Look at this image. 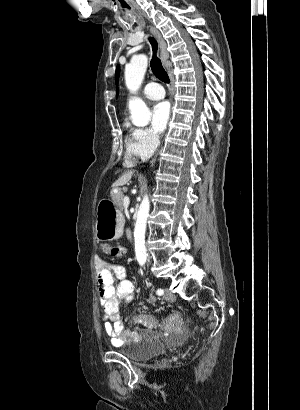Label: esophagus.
Returning a JSON list of instances; mask_svg holds the SVG:
<instances>
[{
  "label": "esophagus",
  "mask_w": 300,
  "mask_h": 410,
  "mask_svg": "<svg viewBox=\"0 0 300 410\" xmlns=\"http://www.w3.org/2000/svg\"><path fill=\"white\" fill-rule=\"evenodd\" d=\"M149 29H150V32L152 33V35L155 37V39L157 40V42L159 44L160 57H161L162 62L165 64L169 59L167 44H166L165 40L163 39V37H162V35H161V33L159 32L158 29H156L153 26H151Z\"/></svg>",
  "instance_id": "esophagus-1"
}]
</instances>
